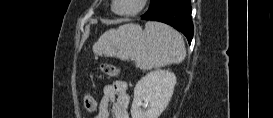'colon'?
I'll list each match as a JSON object with an SVG mask.
<instances>
[{
    "label": "colon",
    "instance_id": "1",
    "mask_svg": "<svg viewBox=\"0 0 273 118\" xmlns=\"http://www.w3.org/2000/svg\"><path fill=\"white\" fill-rule=\"evenodd\" d=\"M100 70L109 77H115L119 74V70L110 64H102ZM84 105L89 112L96 110V103L89 95L84 97Z\"/></svg>",
    "mask_w": 273,
    "mask_h": 118
}]
</instances>
